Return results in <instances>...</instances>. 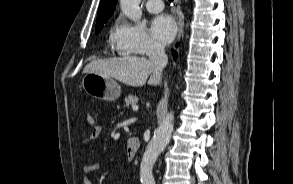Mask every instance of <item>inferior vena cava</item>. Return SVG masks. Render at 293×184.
Returning a JSON list of instances; mask_svg holds the SVG:
<instances>
[{
  "label": "inferior vena cava",
  "instance_id": "inferior-vena-cava-1",
  "mask_svg": "<svg viewBox=\"0 0 293 184\" xmlns=\"http://www.w3.org/2000/svg\"><path fill=\"white\" fill-rule=\"evenodd\" d=\"M148 56L150 63L154 66L155 72L161 74L164 67L168 63V57L165 53L164 47L158 43L151 44L148 51Z\"/></svg>",
  "mask_w": 293,
  "mask_h": 184
}]
</instances>
